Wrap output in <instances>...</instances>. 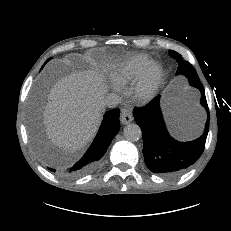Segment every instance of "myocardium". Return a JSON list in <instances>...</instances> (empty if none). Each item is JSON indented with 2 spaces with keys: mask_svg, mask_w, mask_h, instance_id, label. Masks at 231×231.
<instances>
[{
  "mask_svg": "<svg viewBox=\"0 0 231 231\" xmlns=\"http://www.w3.org/2000/svg\"><path fill=\"white\" fill-rule=\"evenodd\" d=\"M162 68L156 63H151L132 89V97L140 103L150 102L157 95L161 80Z\"/></svg>",
  "mask_w": 231,
  "mask_h": 231,
  "instance_id": "1",
  "label": "myocardium"
}]
</instances>
